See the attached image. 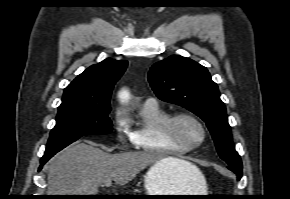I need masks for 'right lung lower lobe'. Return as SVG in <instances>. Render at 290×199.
I'll use <instances>...</instances> for the list:
<instances>
[{"instance_id":"1","label":"right lung lower lobe","mask_w":290,"mask_h":199,"mask_svg":"<svg viewBox=\"0 0 290 199\" xmlns=\"http://www.w3.org/2000/svg\"><path fill=\"white\" fill-rule=\"evenodd\" d=\"M55 153L53 154H49V155H44L42 158H41V165L39 167V170L42 169V166L52 157L54 156Z\"/></svg>"}]
</instances>
